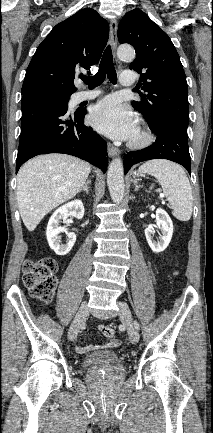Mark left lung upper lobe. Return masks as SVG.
<instances>
[{"mask_svg": "<svg viewBox=\"0 0 213 433\" xmlns=\"http://www.w3.org/2000/svg\"><path fill=\"white\" fill-rule=\"evenodd\" d=\"M120 43L131 44L136 58L130 64L141 74L139 86L147 94L133 101L149 126L163 119L189 124L188 88L179 55L169 36L143 11L125 14L118 25Z\"/></svg>", "mask_w": 213, "mask_h": 433, "instance_id": "5c2ea615", "label": "left lung upper lobe"}]
</instances>
